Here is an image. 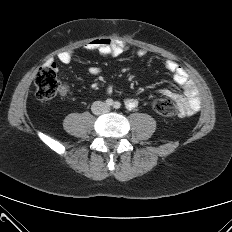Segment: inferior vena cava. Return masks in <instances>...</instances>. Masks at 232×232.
Returning a JSON list of instances; mask_svg holds the SVG:
<instances>
[{"mask_svg": "<svg viewBox=\"0 0 232 232\" xmlns=\"http://www.w3.org/2000/svg\"><path fill=\"white\" fill-rule=\"evenodd\" d=\"M91 110L95 115H101L108 111V106L102 101H95L91 106Z\"/></svg>", "mask_w": 232, "mask_h": 232, "instance_id": "602c4592", "label": "inferior vena cava"}]
</instances>
